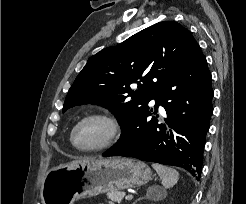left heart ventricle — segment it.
<instances>
[{
	"mask_svg": "<svg viewBox=\"0 0 246 204\" xmlns=\"http://www.w3.org/2000/svg\"><path fill=\"white\" fill-rule=\"evenodd\" d=\"M108 128L99 120L83 123L76 132V140L83 147H90L99 143L106 135Z\"/></svg>",
	"mask_w": 246,
	"mask_h": 204,
	"instance_id": "left-heart-ventricle-1",
	"label": "left heart ventricle"
}]
</instances>
